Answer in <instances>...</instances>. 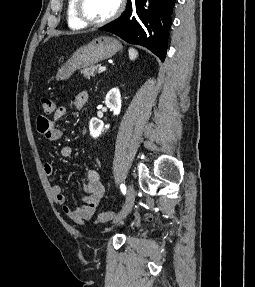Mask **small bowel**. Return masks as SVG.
Wrapping results in <instances>:
<instances>
[{
    "label": "small bowel",
    "mask_w": 255,
    "mask_h": 287,
    "mask_svg": "<svg viewBox=\"0 0 255 287\" xmlns=\"http://www.w3.org/2000/svg\"><path fill=\"white\" fill-rule=\"evenodd\" d=\"M88 95L86 92H80L76 95L72 108L79 109L87 101ZM70 108L66 106L58 107L53 115L52 119H48L44 116H39L37 119V130L48 141L56 142L62 138V130L58 126V122L62 120ZM73 149L71 146H63L60 149V156L68 158L72 155ZM45 173L49 176L55 172L53 163H46L44 165ZM85 194L81 197V205L76 208H71L66 204V196L64 195L62 188L59 185L52 187V195L55 202L62 209V212L72 221L76 223H84L90 221L96 212V209L105 194V188L101 182L100 174L95 169L86 170V182L83 186ZM147 220H152L153 215L147 214L145 216Z\"/></svg>",
    "instance_id": "small-bowel-1"
}]
</instances>
